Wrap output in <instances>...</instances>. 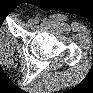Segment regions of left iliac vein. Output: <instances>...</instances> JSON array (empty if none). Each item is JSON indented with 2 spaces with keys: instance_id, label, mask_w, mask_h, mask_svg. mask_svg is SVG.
Instances as JSON below:
<instances>
[{
  "instance_id": "obj_1",
  "label": "left iliac vein",
  "mask_w": 93,
  "mask_h": 93,
  "mask_svg": "<svg viewBox=\"0 0 93 93\" xmlns=\"http://www.w3.org/2000/svg\"><path fill=\"white\" fill-rule=\"evenodd\" d=\"M28 23H29L30 25H32V24H34L35 22H34L33 19H29Z\"/></svg>"
}]
</instances>
